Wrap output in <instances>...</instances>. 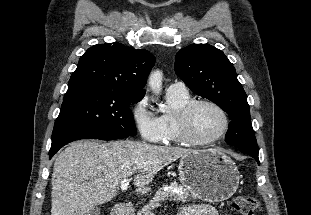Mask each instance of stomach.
<instances>
[{
    "label": "stomach",
    "instance_id": "0dacf381",
    "mask_svg": "<svg viewBox=\"0 0 311 215\" xmlns=\"http://www.w3.org/2000/svg\"><path fill=\"white\" fill-rule=\"evenodd\" d=\"M184 188L195 197L210 203L229 199L236 192L240 174L233 160L216 149L192 151L178 166ZM144 188L141 193H146Z\"/></svg>",
    "mask_w": 311,
    "mask_h": 215
}]
</instances>
